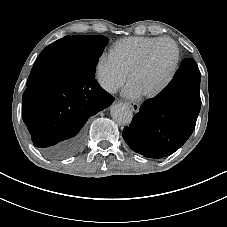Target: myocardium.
<instances>
[{"label":"myocardium","mask_w":227,"mask_h":227,"mask_svg":"<svg viewBox=\"0 0 227 227\" xmlns=\"http://www.w3.org/2000/svg\"><path fill=\"white\" fill-rule=\"evenodd\" d=\"M162 42H168V43H171L174 46L175 58H174L172 66H171L166 78L164 79V81L157 88H155L153 91L143 95L145 98H148V99H152V98L159 96L161 93H163L167 89V87L172 82V80H173V78H174V76H175V74L178 70L180 60H181V52H180V47H179L178 43L174 39L169 38V37L159 38L158 40H156L155 42H153L150 46H148L146 48L143 55L134 64V66L132 67V69L130 70L129 75H128V82L130 83L132 78L134 77V75L136 73H138L141 69L144 68V66L146 65L153 49L159 43H162Z\"/></svg>","instance_id":"obj_1"}]
</instances>
